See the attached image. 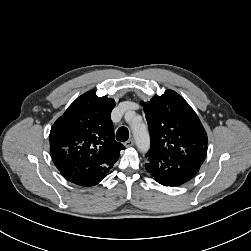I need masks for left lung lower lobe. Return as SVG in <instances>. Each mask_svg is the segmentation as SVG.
<instances>
[{"label": "left lung lower lobe", "mask_w": 251, "mask_h": 251, "mask_svg": "<svg viewBox=\"0 0 251 251\" xmlns=\"http://www.w3.org/2000/svg\"><path fill=\"white\" fill-rule=\"evenodd\" d=\"M201 164L186 159H170L162 154H146V170L164 186H178L194 177Z\"/></svg>", "instance_id": "left-lung-lower-lobe-1"}]
</instances>
